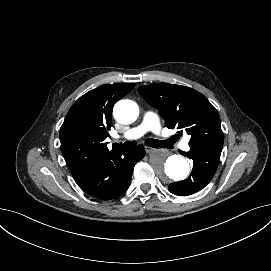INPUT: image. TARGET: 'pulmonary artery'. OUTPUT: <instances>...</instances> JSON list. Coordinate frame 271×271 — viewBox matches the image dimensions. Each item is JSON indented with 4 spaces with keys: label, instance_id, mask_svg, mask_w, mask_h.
I'll use <instances>...</instances> for the list:
<instances>
[{
    "label": "pulmonary artery",
    "instance_id": "e3ab8cb5",
    "mask_svg": "<svg viewBox=\"0 0 271 271\" xmlns=\"http://www.w3.org/2000/svg\"><path fill=\"white\" fill-rule=\"evenodd\" d=\"M162 120L161 117L154 112H146L144 119H142L137 128L130 129L122 136H118V139L121 140H133L141 135H149L154 130H157L161 126ZM179 147L185 149L187 152L193 153L195 148L191 146L186 140H181L179 142Z\"/></svg>",
    "mask_w": 271,
    "mask_h": 271
}]
</instances>
